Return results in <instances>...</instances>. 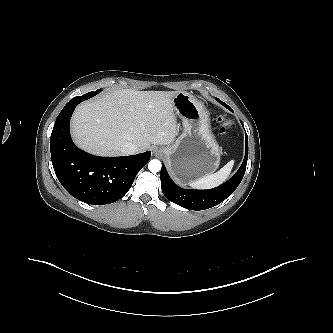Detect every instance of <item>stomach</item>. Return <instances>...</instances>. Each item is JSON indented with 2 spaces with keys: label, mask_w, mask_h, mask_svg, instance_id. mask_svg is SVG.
<instances>
[{
  "label": "stomach",
  "mask_w": 333,
  "mask_h": 333,
  "mask_svg": "<svg viewBox=\"0 0 333 333\" xmlns=\"http://www.w3.org/2000/svg\"><path fill=\"white\" fill-rule=\"evenodd\" d=\"M172 109L183 123L182 134L163 149L174 179L187 183L212 174L220 164V147L211 132L207 109L187 92L173 97Z\"/></svg>",
  "instance_id": "1"
}]
</instances>
